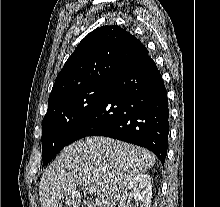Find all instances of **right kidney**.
Returning a JSON list of instances; mask_svg holds the SVG:
<instances>
[{"instance_id":"ca27d5eb","label":"right kidney","mask_w":220,"mask_h":207,"mask_svg":"<svg viewBox=\"0 0 220 207\" xmlns=\"http://www.w3.org/2000/svg\"><path fill=\"white\" fill-rule=\"evenodd\" d=\"M132 198L136 207H151L152 183L148 174H138L123 191L118 207H131Z\"/></svg>"}]
</instances>
